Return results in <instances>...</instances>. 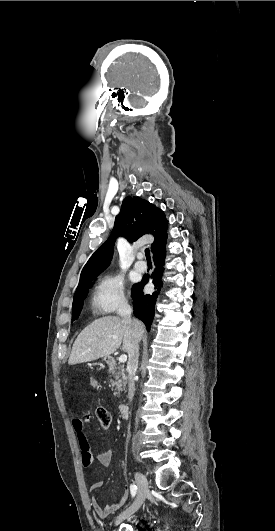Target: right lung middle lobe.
Returning <instances> with one entry per match:
<instances>
[{
  "instance_id": "1",
  "label": "right lung middle lobe",
  "mask_w": 275,
  "mask_h": 531,
  "mask_svg": "<svg viewBox=\"0 0 275 531\" xmlns=\"http://www.w3.org/2000/svg\"><path fill=\"white\" fill-rule=\"evenodd\" d=\"M94 278L89 279L80 288L76 290V293L73 298V305H72V321L78 319L82 306H83V301L86 298V295L88 292V286L91 284Z\"/></svg>"
}]
</instances>
